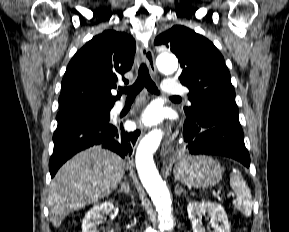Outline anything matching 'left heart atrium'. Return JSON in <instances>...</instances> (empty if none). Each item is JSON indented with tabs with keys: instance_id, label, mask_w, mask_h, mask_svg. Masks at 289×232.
<instances>
[{
	"instance_id": "left-heart-atrium-1",
	"label": "left heart atrium",
	"mask_w": 289,
	"mask_h": 232,
	"mask_svg": "<svg viewBox=\"0 0 289 232\" xmlns=\"http://www.w3.org/2000/svg\"><path fill=\"white\" fill-rule=\"evenodd\" d=\"M162 118L161 111L156 107L150 106L142 113L139 123L145 127H152L159 124Z\"/></svg>"
}]
</instances>
